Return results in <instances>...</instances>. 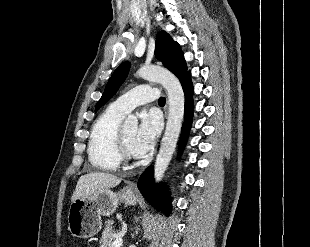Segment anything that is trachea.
<instances>
[{
	"mask_svg": "<svg viewBox=\"0 0 310 247\" xmlns=\"http://www.w3.org/2000/svg\"><path fill=\"white\" fill-rule=\"evenodd\" d=\"M166 103V100L164 97H160L159 100H158V104L159 105H164Z\"/></svg>",
	"mask_w": 310,
	"mask_h": 247,
	"instance_id": "1",
	"label": "trachea"
}]
</instances>
